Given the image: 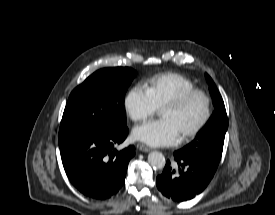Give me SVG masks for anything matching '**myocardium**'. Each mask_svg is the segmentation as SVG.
<instances>
[{"mask_svg":"<svg viewBox=\"0 0 275 215\" xmlns=\"http://www.w3.org/2000/svg\"><path fill=\"white\" fill-rule=\"evenodd\" d=\"M202 96L205 100V113L203 118L200 120V122L192 128L190 131H188L185 135L181 137L182 141H188L195 136H197L204 127L208 124L211 116H212V101L207 92H205L202 89H190L187 91H184L177 95L176 97L172 98L171 100L167 101L163 106V108L169 107V108H180L183 106L189 99H191L194 96Z\"/></svg>","mask_w":275,"mask_h":215,"instance_id":"f54148a6","label":"myocardium"}]
</instances>
